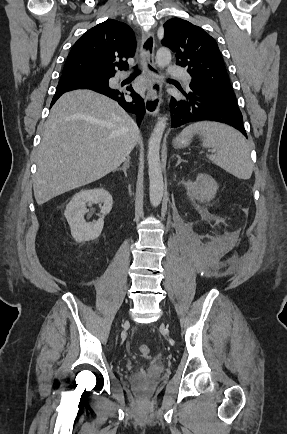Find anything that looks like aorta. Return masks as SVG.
<instances>
[{"instance_id":"aorta-1","label":"aorta","mask_w":287,"mask_h":434,"mask_svg":"<svg viewBox=\"0 0 287 434\" xmlns=\"http://www.w3.org/2000/svg\"><path fill=\"white\" fill-rule=\"evenodd\" d=\"M170 62V50L164 47L159 48L156 53L157 66L165 68ZM167 120V116H162L158 119L148 141L149 196L150 203L153 207H157L160 204L164 193V182L160 162V144L167 125Z\"/></svg>"}]
</instances>
